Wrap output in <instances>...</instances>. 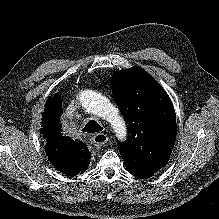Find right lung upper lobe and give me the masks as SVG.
Segmentation results:
<instances>
[{
	"mask_svg": "<svg viewBox=\"0 0 219 219\" xmlns=\"http://www.w3.org/2000/svg\"><path fill=\"white\" fill-rule=\"evenodd\" d=\"M61 113V97L54 94L45 104L40 131L46 139L45 151L51 164L65 175L74 176L86 170L91 153L83 142L63 136Z\"/></svg>",
	"mask_w": 219,
	"mask_h": 219,
	"instance_id": "right-lung-upper-lobe-1",
	"label": "right lung upper lobe"
}]
</instances>
